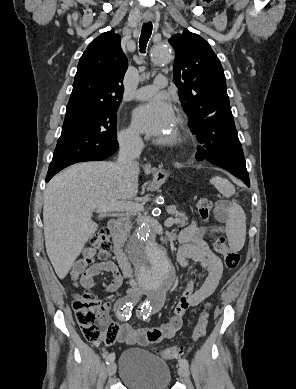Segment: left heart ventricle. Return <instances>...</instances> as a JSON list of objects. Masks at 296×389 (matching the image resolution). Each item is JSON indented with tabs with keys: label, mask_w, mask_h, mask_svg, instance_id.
<instances>
[{
	"label": "left heart ventricle",
	"mask_w": 296,
	"mask_h": 389,
	"mask_svg": "<svg viewBox=\"0 0 296 389\" xmlns=\"http://www.w3.org/2000/svg\"><path fill=\"white\" fill-rule=\"evenodd\" d=\"M171 129L167 132V133H170Z\"/></svg>",
	"instance_id": "b2bd125f"
}]
</instances>
